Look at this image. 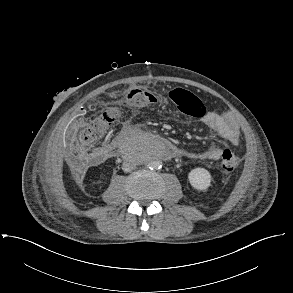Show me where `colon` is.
Segmentation results:
<instances>
[{
    "instance_id": "colon-1",
    "label": "colon",
    "mask_w": 293,
    "mask_h": 293,
    "mask_svg": "<svg viewBox=\"0 0 293 293\" xmlns=\"http://www.w3.org/2000/svg\"><path fill=\"white\" fill-rule=\"evenodd\" d=\"M172 99L182 112L194 115L198 98L193 93L184 89H176L172 93ZM153 103L151 93L141 88H135L127 93L124 105L133 109L146 107ZM121 115L122 108L120 106L106 109L80 131L79 141L81 145L91 146L95 144ZM238 163L239 159L236 154L231 149L223 147L221 155L222 168L226 171H232L238 166Z\"/></svg>"
}]
</instances>
